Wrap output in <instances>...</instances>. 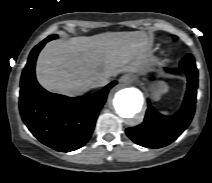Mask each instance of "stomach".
I'll return each instance as SVG.
<instances>
[{"instance_id":"0dacf381","label":"stomach","mask_w":212,"mask_h":183,"mask_svg":"<svg viewBox=\"0 0 212 183\" xmlns=\"http://www.w3.org/2000/svg\"><path fill=\"white\" fill-rule=\"evenodd\" d=\"M168 90V87L165 83L163 82H158L156 84L151 85V93L152 97L155 100H158L162 94L166 93Z\"/></svg>"}]
</instances>
